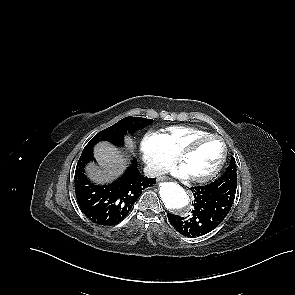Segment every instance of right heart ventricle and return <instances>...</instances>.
Masks as SVG:
<instances>
[{
	"mask_svg": "<svg viewBox=\"0 0 295 295\" xmlns=\"http://www.w3.org/2000/svg\"><path fill=\"white\" fill-rule=\"evenodd\" d=\"M164 147L174 156L195 137L209 132L191 126H171L158 133Z\"/></svg>",
	"mask_w": 295,
	"mask_h": 295,
	"instance_id": "right-heart-ventricle-1",
	"label": "right heart ventricle"
}]
</instances>
